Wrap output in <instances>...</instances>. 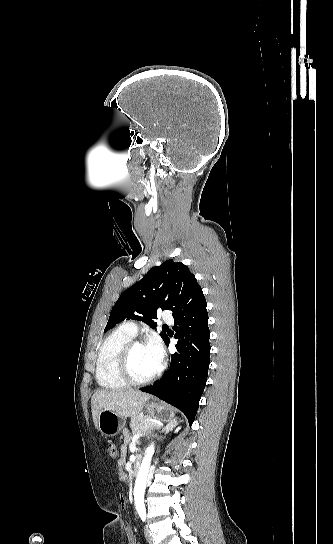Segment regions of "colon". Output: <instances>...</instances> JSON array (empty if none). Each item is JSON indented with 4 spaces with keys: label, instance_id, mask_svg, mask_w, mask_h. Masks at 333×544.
Listing matches in <instances>:
<instances>
[{
    "label": "colon",
    "instance_id": "colon-1",
    "mask_svg": "<svg viewBox=\"0 0 333 544\" xmlns=\"http://www.w3.org/2000/svg\"><path fill=\"white\" fill-rule=\"evenodd\" d=\"M106 448L107 452L110 458H116L117 456V448L116 444L113 440H107L106 441Z\"/></svg>",
    "mask_w": 333,
    "mask_h": 544
}]
</instances>
